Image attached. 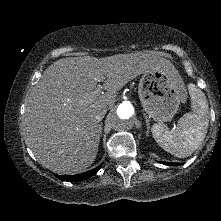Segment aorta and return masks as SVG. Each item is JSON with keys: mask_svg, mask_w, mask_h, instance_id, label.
I'll return each mask as SVG.
<instances>
[{"mask_svg": "<svg viewBox=\"0 0 221 221\" xmlns=\"http://www.w3.org/2000/svg\"><path fill=\"white\" fill-rule=\"evenodd\" d=\"M135 123V110L129 101L116 105L111 115V124L117 132H126L133 128Z\"/></svg>", "mask_w": 221, "mask_h": 221, "instance_id": "obj_1", "label": "aorta"}]
</instances>
